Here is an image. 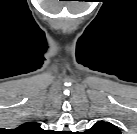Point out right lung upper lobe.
Wrapping results in <instances>:
<instances>
[{
	"label": "right lung upper lobe",
	"mask_w": 137,
	"mask_h": 134,
	"mask_svg": "<svg viewBox=\"0 0 137 134\" xmlns=\"http://www.w3.org/2000/svg\"><path fill=\"white\" fill-rule=\"evenodd\" d=\"M16 131L21 134H44L45 131L40 127V123L29 121L20 125Z\"/></svg>",
	"instance_id": "1"
}]
</instances>
